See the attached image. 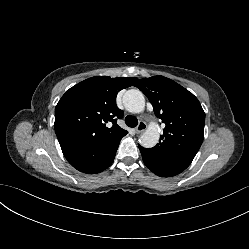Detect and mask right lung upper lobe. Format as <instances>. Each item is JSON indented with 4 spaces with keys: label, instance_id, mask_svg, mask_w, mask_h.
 Segmentation results:
<instances>
[{
    "label": "right lung upper lobe",
    "instance_id": "1",
    "mask_svg": "<svg viewBox=\"0 0 249 249\" xmlns=\"http://www.w3.org/2000/svg\"><path fill=\"white\" fill-rule=\"evenodd\" d=\"M136 80L95 76L67 90L55 108L54 128L61 149L95 147L125 136L128 132L116 123L124 114L116 96Z\"/></svg>",
    "mask_w": 249,
    "mask_h": 249
}]
</instances>
